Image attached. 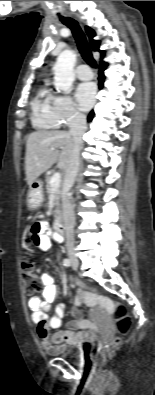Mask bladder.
Instances as JSON below:
<instances>
[{
  "label": "bladder",
  "instance_id": "bladder-1",
  "mask_svg": "<svg viewBox=\"0 0 155 395\" xmlns=\"http://www.w3.org/2000/svg\"><path fill=\"white\" fill-rule=\"evenodd\" d=\"M56 355L66 358L70 361L79 362L83 356V351L77 346L65 344L56 348Z\"/></svg>",
  "mask_w": 155,
  "mask_h": 395
}]
</instances>
